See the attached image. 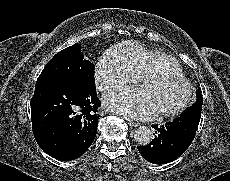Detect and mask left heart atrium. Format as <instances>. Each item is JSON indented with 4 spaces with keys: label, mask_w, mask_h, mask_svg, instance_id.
I'll return each instance as SVG.
<instances>
[{
    "label": "left heart atrium",
    "mask_w": 230,
    "mask_h": 181,
    "mask_svg": "<svg viewBox=\"0 0 230 181\" xmlns=\"http://www.w3.org/2000/svg\"><path fill=\"white\" fill-rule=\"evenodd\" d=\"M142 90L139 87H131L109 93L104 104L109 110L127 118L150 119L156 115V110L141 94Z\"/></svg>",
    "instance_id": "1"
}]
</instances>
